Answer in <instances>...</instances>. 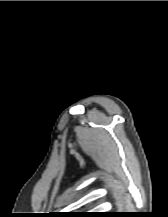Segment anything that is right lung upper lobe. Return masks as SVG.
I'll list each match as a JSON object with an SVG mask.
<instances>
[{
	"mask_svg": "<svg viewBox=\"0 0 168 217\" xmlns=\"http://www.w3.org/2000/svg\"><path fill=\"white\" fill-rule=\"evenodd\" d=\"M70 216H77V215H70ZM84 216H97V214H88V215H84Z\"/></svg>",
	"mask_w": 168,
	"mask_h": 217,
	"instance_id": "right-lung-upper-lobe-1",
	"label": "right lung upper lobe"
}]
</instances>
